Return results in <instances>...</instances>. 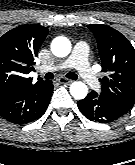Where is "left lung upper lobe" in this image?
<instances>
[{"label": "left lung upper lobe", "mask_w": 135, "mask_h": 165, "mask_svg": "<svg viewBox=\"0 0 135 165\" xmlns=\"http://www.w3.org/2000/svg\"><path fill=\"white\" fill-rule=\"evenodd\" d=\"M102 61V71L108 75L101 81L100 95L128 112L135 104V49L119 31L103 24H90Z\"/></svg>", "instance_id": "obj_1"}]
</instances>
